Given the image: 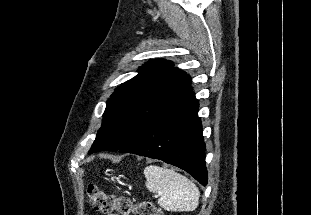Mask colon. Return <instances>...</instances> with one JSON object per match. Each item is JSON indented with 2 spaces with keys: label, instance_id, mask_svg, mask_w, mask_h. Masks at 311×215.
<instances>
[{
  "label": "colon",
  "instance_id": "obj_1",
  "mask_svg": "<svg viewBox=\"0 0 311 215\" xmlns=\"http://www.w3.org/2000/svg\"><path fill=\"white\" fill-rule=\"evenodd\" d=\"M87 195L92 208L104 215H162L149 201L107 193L95 184L88 185Z\"/></svg>",
  "mask_w": 311,
  "mask_h": 215
}]
</instances>
